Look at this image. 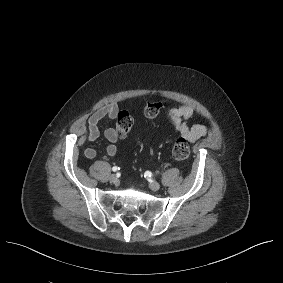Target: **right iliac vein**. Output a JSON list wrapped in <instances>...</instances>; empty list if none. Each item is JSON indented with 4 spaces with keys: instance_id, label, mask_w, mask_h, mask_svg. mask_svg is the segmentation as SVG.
Segmentation results:
<instances>
[{
    "instance_id": "obj_1",
    "label": "right iliac vein",
    "mask_w": 283,
    "mask_h": 283,
    "mask_svg": "<svg viewBox=\"0 0 283 283\" xmlns=\"http://www.w3.org/2000/svg\"><path fill=\"white\" fill-rule=\"evenodd\" d=\"M109 180H110L111 182L115 183V182L118 181V178H117L116 175L113 174V175H110Z\"/></svg>"
}]
</instances>
